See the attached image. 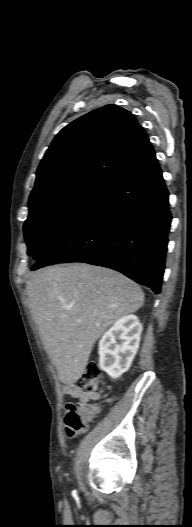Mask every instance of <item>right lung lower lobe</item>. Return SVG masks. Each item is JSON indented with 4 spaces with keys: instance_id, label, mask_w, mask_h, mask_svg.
Returning <instances> with one entry per match:
<instances>
[{
    "instance_id": "1",
    "label": "right lung lower lobe",
    "mask_w": 192,
    "mask_h": 527,
    "mask_svg": "<svg viewBox=\"0 0 192 527\" xmlns=\"http://www.w3.org/2000/svg\"><path fill=\"white\" fill-rule=\"evenodd\" d=\"M168 197L149 144L106 182L31 270L55 263H89L117 270L160 293L172 219Z\"/></svg>"
}]
</instances>
